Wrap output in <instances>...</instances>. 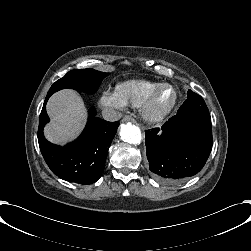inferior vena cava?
Segmentation results:
<instances>
[{
    "instance_id": "602c4592",
    "label": "inferior vena cava",
    "mask_w": 251,
    "mask_h": 251,
    "mask_svg": "<svg viewBox=\"0 0 251 251\" xmlns=\"http://www.w3.org/2000/svg\"><path fill=\"white\" fill-rule=\"evenodd\" d=\"M102 116H103L104 120L114 122V121L121 119L122 113L118 112L112 108H104L102 110Z\"/></svg>"
}]
</instances>
